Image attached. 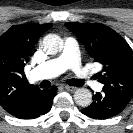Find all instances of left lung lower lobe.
Returning <instances> with one entry per match:
<instances>
[{
  "label": "left lung lower lobe",
  "mask_w": 133,
  "mask_h": 133,
  "mask_svg": "<svg viewBox=\"0 0 133 133\" xmlns=\"http://www.w3.org/2000/svg\"><path fill=\"white\" fill-rule=\"evenodd\" d=\"M129 99L109 93H96L93 95V102L81 112L94 119H107L122 112Z\"/></svg>",
  "instance_id": "left-lung-lower-lobe-1"
}]
</instances>
